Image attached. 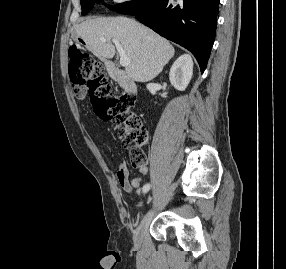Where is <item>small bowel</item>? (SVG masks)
Returning a JSON list of instances; mask_svg holds the SVG:
<instances>
[{
  "label": "small bowel",
  "instance_id": "c3829d8e",
  "mask_svg": "<svg viewBox=\"0 0 286 269\" xmlns=\"http://www.w3.org/2000/svg\"><path fill=\"white\" fill-rule=\"evenodd\" d=\"M80 98L84 97V92L81 90L79 96ZM139 174L134 177L132 180L129 178V170L127 165L124 162H121L118 166L116 172V179L120 187L125 192H131L133 189H138L141 187L144 176L147 174L148 168L147 165L144 164L142 167L138 168Z\"/></svg>",
  "mask_w": 286,
  "mask_h": 269
}]
</instances>
